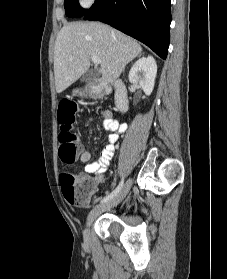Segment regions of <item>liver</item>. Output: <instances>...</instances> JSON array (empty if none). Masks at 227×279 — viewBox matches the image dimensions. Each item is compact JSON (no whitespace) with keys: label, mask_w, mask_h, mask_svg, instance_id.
<instances>
[{"label":"liver","mask_w":227,"mask_h":279,"mask_svg":"<svg viewBox=\"0 0 227 279\" xmlns=\"http://www.w3.org/2000/svg\"><path fill=\"white\" fill-rule=\"evenodd\" d=\"M142 52L131 37L98 22H73L59 31L54 48V77L57 93L63 92L90 67V57L100 58V72L114 82L125 66Z\"/></svg>","instance_id":"1"}]
</instances>
